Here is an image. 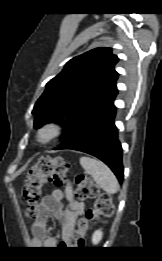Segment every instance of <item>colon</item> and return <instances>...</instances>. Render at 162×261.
<instances>
[{"label":"colon","mask_w":162,"mask_h":261,"mask_svg":"<svg viewBox=\"0 0 162 261\" xmlns=\"http://www.w3.org/2000/svg\"><path fill=\"white\" fill-rule=\"evenodd\" d=\"M68 170L67 162L61 157L42 156L25 175L22 186V195L26 202V215L33 218L37 215L36 203L46 183L57 186L63 184ZM74 195L77 199H96L95 204L84 218L79 222L78 228L63 242L64 245L83 247L85 244V233L90 224L100 217H109L113 214L111 196L100 193L99 187L86 175L75 177Z\"/></svg>","instance_id":"1"}]
</instances>
